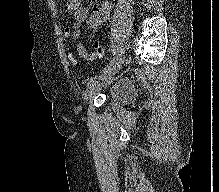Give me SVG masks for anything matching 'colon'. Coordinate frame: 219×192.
Instances as JSON below:
<instances>
[{
  "instance_id": "obj_1",
  "label": "colon",
  "mask_w": 219,
  "mask_h": 192,
  "mask_svg": "<svg viewBox=\"0 0 219 192\" xmlns=\"http://www.w3.org/2000/svg\"><path fill=\"white\" fill-rule=\"evenodd\" d=\"M95 54L99 57H104L105 56V48L99 41H95L93 44Z\"/></svg>"
}]
</instances>
